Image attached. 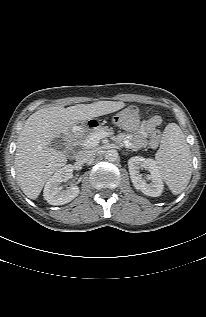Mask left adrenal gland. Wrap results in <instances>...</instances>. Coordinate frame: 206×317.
<instances>
[{
	"label": "left adrenal gland",
	"instance_id": "1",
	"mask_svg": "<svg viewBox=\"0 0 206 317\" xmlns=\"http://www.w3.org/2000/svg\"><path fill=\"white\" fill-rule=\"evenodd\" d=\"M127 151H130V150H127ZM133 151H135V150H132L131 152H133Z\"/></svg>",
	"mask_w": 206,
	"mask_h": 317
}]
</instances>
